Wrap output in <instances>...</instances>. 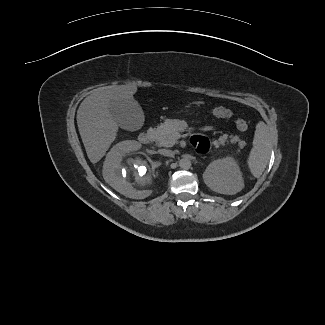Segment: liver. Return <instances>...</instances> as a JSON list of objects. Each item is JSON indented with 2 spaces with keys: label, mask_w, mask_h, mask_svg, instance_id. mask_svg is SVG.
Masks as SVG:
<instances>
[{
  "label": "liver",
  "mask_w": 325,
  "mask_h": 325,
  "mask_svg": "<svg viewBox=\"0 0 325 325\" xmlns=\"http://www.w3.org/2000/svg\"><path fill=\"white\" fill-rule=\"evenodd\" d=\"M134 85L104 86L97 88L80 104L77 125L89 160L95 164L114 142L118 124L109 112L110 102L118 99L134 100Z\"/></svg>",
  "instance_id": "obj_1"
}]
</instances>
